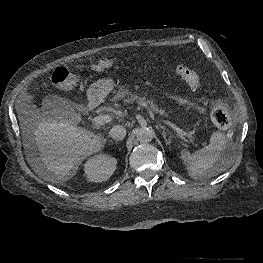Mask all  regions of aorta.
<instances>
[{
	"mask_svg": "<svg viewBox=\"0 0 263 263\" xmlns=\"http://www.w3.org/2000/svg\"><path fill=\"white\" fill-rule=\"evenodd\" d=\"M136 136L139 142L148 143L152 141L154 137V132L149 128L142 127L137 130Z\"/></svg>",
	"mask_w": 263,
	"mask_h": 263,
	"instance_id": "762f6f07",
	"label": "aorta"
}]
</instances>
